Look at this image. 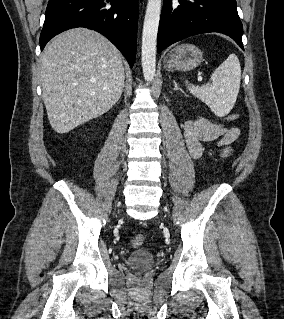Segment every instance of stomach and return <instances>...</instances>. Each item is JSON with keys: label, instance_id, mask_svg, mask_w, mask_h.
<instances>
[{"label": "stomach", "instance_id": "1", "mask_svg": "<svg viewBox=\"0 0 284 319\" xmlns=\"http://www.w3.org/2000/svg\"><path fill=\"white\" fill-rule=\"evenodd\" d=\"M203 61L201 50L191 44H181L172 49L164 59L167 70L190 71Z\"/></svg>", "mask_w": 284, "mask_h": 319}]
</instances>
